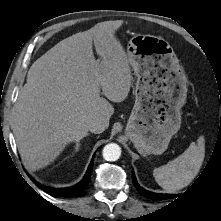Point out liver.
<instances>
[{
    "instance_id": "obj_1",
    "label": "liver",
    "mask_w": 221,
    "mask_h": 221,
    "mask_svg": "<svg viewBox=\"0 0 221 221\" xmlns=\"http://www.w3.org/2000/svg\"><path fill=\"white\" fill-rule=\"evenodd\" d=\"M122 24L100 22L73 34L30 67L14 113L17 147L29 169L54 161L68 143L86 136L92 121L101 120L107 128L114 113L108 100L119 103L127 98L130 63L115 36ZM93 44L101 61L93 58Z\"/></svg>"
}]
</instances>
